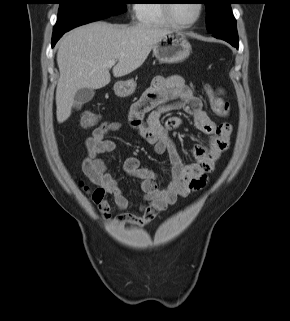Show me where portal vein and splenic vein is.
<instances>
[{
	"label": "portal vein and splenic vein",
	"instance_id": "18ae733b",
	"mask_svg": "<svg viewBox=\"0 0 290 321\" xmlns=\"http://www.w3.org/2000/svg\"><path fill=\"white\" fill-rule=\"evenodd\" d=\"M116 61L115 60H110L107 64L108 67H112L113 65H115Z\"/></svg>",
	"mask_w": 290,
	"mask_h": 321
}]
</instances>
